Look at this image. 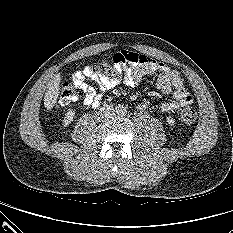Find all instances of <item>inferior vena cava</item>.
I'll return each instance as SVG.
<instances>
[{"label":"inferior vena cava","instance_id":"1","mask_svg":"<svg viewBox=\"0 0 233 233\" xmlns=\"http://www.w3.org/2000/svg\"><path fill=\"white\" fill-rule=\"evenodd\" d=\"M108 114L107 116H111L113 114V108L112 107H107ZM104 112V108L101 109V114ZM106 117V116H105Z\"/></svg>","mask_w":233,"mask_h":233}]
</instances>
